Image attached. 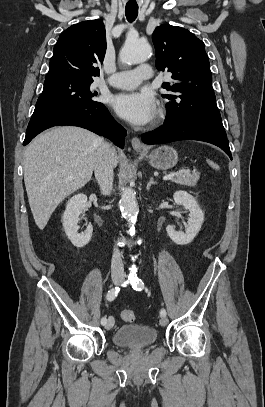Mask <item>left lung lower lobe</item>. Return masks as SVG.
<instances>
[{
    "label": "left lung lower lobe",
    "instance_id": "obj_1",
    "mask_svg": "<svg viewBox=\"0 0 265 407\" xmlns=\"http://www.w3.org/2000/svg\"><path fill=\"white\" fill-rule=\"evenodd\" d=\"M146 144H162L179 140H199L214 144L232 158L225 134L194 123L164 124L158 130L141 136Z\"/></svg>",
    "mask_w": 265,
    "mask_h": 407
}]
</instances>
